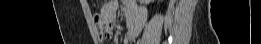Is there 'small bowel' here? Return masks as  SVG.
<instances>
[{
  "label": "small bowel",
  "instance_id": "1",
  "mask_svg": "<svg viewBox=\"0 0 261 44\" xmlns=\"http://www.w3.org/2000/svg\"><path fill=\"white\" fill-rule=\"evenodd\" d=\"M124 14L126 19L131 21V25L128 26L126 35L124 37V44H131L136 39L142 25L145 21V10L142 7L137 6L132 1L123 2ZM120 7L119 1H110L102 7V16L96 18V28L99 31L100 36L109 37L112 34V25L116 22L117 11Z\"/></svg>",
  "mask_w": 261,
  "mask_h": 44
}]
</instances>
